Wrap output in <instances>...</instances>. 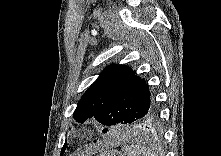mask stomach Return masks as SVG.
Segmentation results:
<instances>
[{"label": "stomach", "mask_w": 221, "mask_h": 156, "mask_svg": "<svg viewBox=\"0 0 221 156\" xmlns=\"http://www.w3.org/2000/svg\"><path fill=\"white\" fill-rule=\"evenodd\" d=\"M98 156H123V155L115 150H106V151H101Z\"/></svg>", "instance_id": "stomach-1"}]
</instances>
